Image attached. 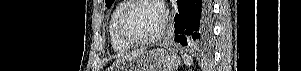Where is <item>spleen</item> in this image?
I'll return each mask as SVG.
<instances>
[{
    "label": "spleen",
    "mask_w": 301,
    "mask_h": 71,
    "mask_svg": "<svg viewBox=\"0 0 301 71\" xmlns=\"http://www.w3.org/2000/svg\"><path fill=\"white\" fill-rule=\"evenodd\" d=\"M182 59H183L184 63L186 65H188V66H190L191 64H193V58L191 56L187 55V54H184L182 56Z\"/></svg>",
    "instance_id": "3e777b00"
}]
</instances>
